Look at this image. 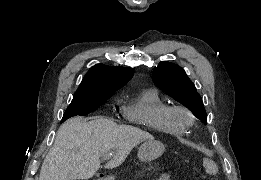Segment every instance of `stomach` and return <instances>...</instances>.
<instances>
[{"mask_svg": "<svg viewBox=\"0 0 261 180\" xmlns=\"http://www.w3.org/2000/svg\"><path fill=\"white\" fill-rule=\"evenodd\" d=\"M165 151L164 145L157 140L145 141L138 150V158L143 162H150L159 158ZM104 180H115L114 176H107Z\"/></svg>", "mask_w": 261, "mask_h": 180, "instance_id": "stomach-1", "label": "stomach"}]
</instances>
